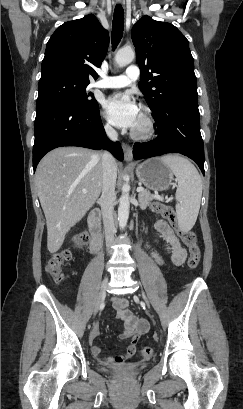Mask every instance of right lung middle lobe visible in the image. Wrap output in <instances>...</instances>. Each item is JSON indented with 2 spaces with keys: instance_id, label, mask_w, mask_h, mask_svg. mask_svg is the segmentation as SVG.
Here are the masks:
<instances>
[{
  "instance_id": "1",
  "label": "right lung middle lobe",
  "mask_w": 243,
  "mask_h": 409,
  "mask_svg": "<svg viewBox=\"0 0 243 409\" xmlns=\"http://www.w3.org/2000/svg\"><path fill=\"white\" fill-rule=\"evenodd\" d=\"M88 84L63 76L40 79L36 109L51 105H70L87 109L98 105L91 93L86 92Z\"/></svg>"
}]
</instances>
